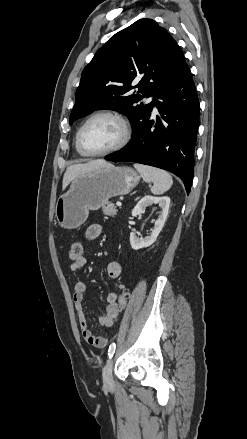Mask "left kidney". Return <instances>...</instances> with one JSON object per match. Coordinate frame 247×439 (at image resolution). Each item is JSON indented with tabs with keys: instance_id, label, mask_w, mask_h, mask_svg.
I'll return each mask as SVG.
<instances>
[{
	"instance_id": "obj_1",
	"label": "left kidney",
	"mask_w": 247,
	"mask_h": 439,
	"mask_svg": "<svg viewBox=\"0 0 247 439\" xmlns=\"http://www.w3.org/2000/svg\"><path fill=\"white\" fill-rule=\"evenodd\" d=\"M152 204H159L162 212L159 215L158 219L155 221L154 229L149 236H146L145 238H139L135 235V233H130V244L134 250L149 247L150 245H152L156 241L167 219L170 206V198L168 196H144L132 210V217L143 214L145 212V208Z\"/></svg>"
}]
</instances>
